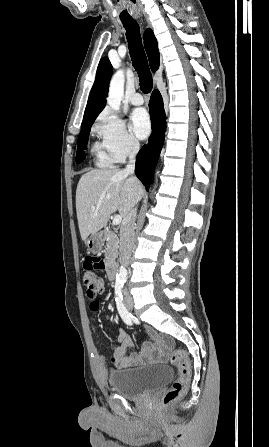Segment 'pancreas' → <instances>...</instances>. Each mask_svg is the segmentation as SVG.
I'll return each mask as SVG.
<instances>
[{"label":"pancreas","instance_id":"1","mask_svg":"<svg viewBox=\"0 0 269 447\" xmlns=\"http://www.w3.org/2000/svg\"><path fill=\"white\" fill-rule=\"evenodd\" d=\"M104 233L107 239L105 267L106 269H109V267H112V263H115V259L118 255L119 237H117V233H114L110 227H106Z\"/></svg>","mask_w":269,"mask_h":447}]
</instances>
